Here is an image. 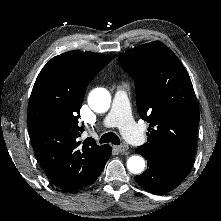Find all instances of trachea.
<instances>
[{"mask_svg":"<svg viewBox=\"0 0 221 221\" xmlns=\"http://www.w3.org/2000/svg\"><path fill=\"white\" fill-rule=\"evenodd\" d=\"M109 142H111L112 144H115V145H119L120 139L113 132H108V133L103 134L100 138V143H109Z\"/></svg>","mask_w":221,"mask_h":221,"instance_id":"trachea-1","label":"trachea"}]
</instances>
